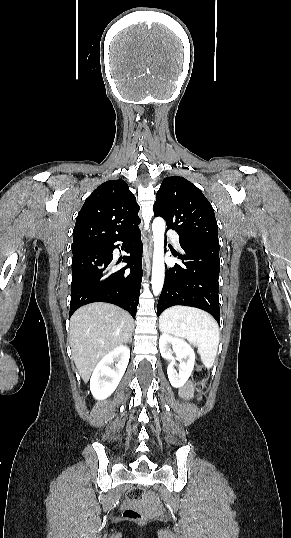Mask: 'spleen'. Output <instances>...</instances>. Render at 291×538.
<instances>
[{"label":"spleen","instance_id":"obj_1","mask_svg":"<svg viewBox=\"0 0 291 538\" xmlns=\"http://www.w3.org/2000/svg\"><path fill=\"white\" fill-rule=\"evenodd\" d=\"M159 328L196 345L203 364L207 368L213 366L219 345V327L210 314L197 308L173 306L160 315Z\"/></svg>","mask_w":291,"mask_h":538}]
</instances>
